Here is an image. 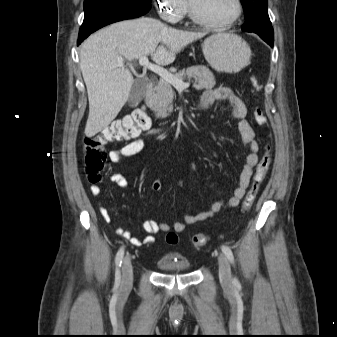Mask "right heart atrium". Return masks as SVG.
<instances>
[{
	"label": "right heart atrium",
	"instance_id": "right-heart-atrium-1",
	"mask_svg": "<svg viewBox=\"0 0 337 337\" xmlns=\"http://www.w3.org/2000/svg\"><path fill=\"white\" fill-rule=\"evenodd\" d=\"M155 3L162 19L169 23L179 22L187 10L185 0H155Z\"/></svg>",
	"mask_w": 337,
	"mask_h": 337
}]
</instances>
